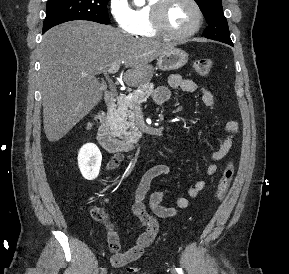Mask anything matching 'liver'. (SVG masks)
I'll return each instance as SVG.
<instances>
[{
    "label": "liver",
    "mask_w": 289,
    "mask_h": 274,
    "mask_svg": "<svg viewBox=\"0 0 289 274\" xmlns=\"http://www.w3.org/2000/svg\"><path fill=\"white\" fill-rule=\"evenodd\" d=\"M173 49L168 43L134 38L109 25L70 21L48 30L40 44L43 124L47 139L63 138L101 101L104 87L95 77L111 65L129 68V86L150 81L149 64Z\"/></svg>",
    "instance_id": "1"
}]
</instances>
